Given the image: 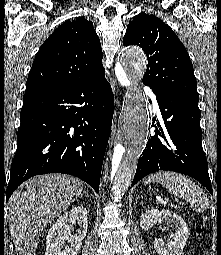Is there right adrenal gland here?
Listing matches in <instances>:
<instances>
[{
  "mask_svg": "<svg viewBox=\"0 0 221 255\" xmlns=\"http://www.w3.org/2000/svg\"><path fill=\"white\" fill-rule=\"evenodd\" d=\"M86 195V196H88V192L84 189V191H83V194L80 196V198L82 199L83 198V195Z\"/></svg>",
  "mask_w": 221,
  "mask_h": 255,
  "instance_id": "2a0ac1e0",
  "label": "right adrenal gland"
}]
</instances>
